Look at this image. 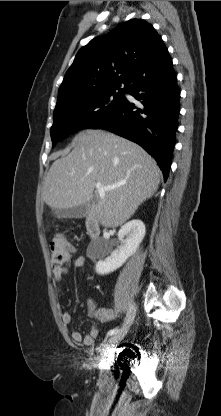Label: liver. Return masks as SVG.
I'll return each mask as SVG.
<instances>
[{
    "instance_id": "liver-1",
    "label": "liver",
    "mask_w": 221,
    "mask_h": 416,
    "mask_svg": "<svg viewBox=\"0 0 221 416\" xmlns=\"http://www.w3.org/2000/svg\"><path fill=\"white\" fill-rule=\"evenodd\" d=\"M74 149L53 162L42 197L52 209L71 208L95 198L87 215L103 227L122 225L160 184L156 161L138 144L103 130L80 132ZM97 183L123 185L94 197Z\"/></svg>"
}]
</instances>
